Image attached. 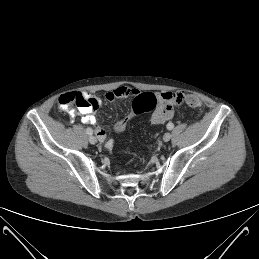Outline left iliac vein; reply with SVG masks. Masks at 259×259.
I'll return each mask as SVG.
<instances>
[{"label": "left iliac vein", "instance_id": "left-iliac-vein-1", "mask_svg": "<svg viewBox=\"0 0 259 259\" xmlns=\"http://www.w3.org/2000/svg\"><path fill=\"white\" fill-rule=\"evenodd\" d=\"M171 139V134L170 133H165L163 136V140L165 142H168Z\"/></svg>", "mask_w": 259, "mask_h": 259}]
</instances>
